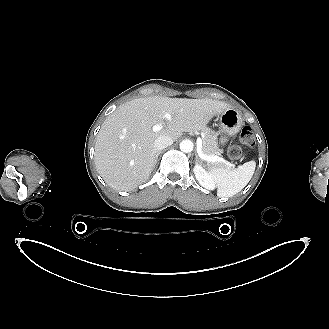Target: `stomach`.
<instances>
[{
  "label": "stomach",
  "instance_id": "obj_1",
  "mask_svg": "<svg viewBox=\"0 0 329 329\" xmlns=\"http://www.w3.org/2000/svg\"><path fill=\"white\" fill-rule=\"evenodd\" d=\"M217 115L221 128L228 135L236 134L243 125V120L239 111L234 108H228Z\"/></svg>",
  "mask_w": 329,
  "mask_h": 329
}]
</instances>
